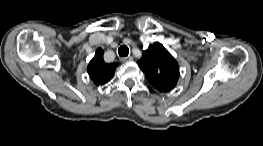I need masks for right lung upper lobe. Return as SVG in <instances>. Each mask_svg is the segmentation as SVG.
<instances>
[{"instance_id":"right-lung-upper-lobe-1","label":"right lung upper lobe","mask_w":263,"mask_h":146,"mask_svg":"<svg viewBox=\"0 0 263 146\" xmlns=\"http://www.w3.org/2000/svg\"><path fill=\"white\" fill-rule=\"evenodd\" d=\"M117 66L118 64L116 63H105L103 60V50L98 48L95 56L88 64L87 71L96 85H103L112 78Z\"/></svg>"}]
</instances>
